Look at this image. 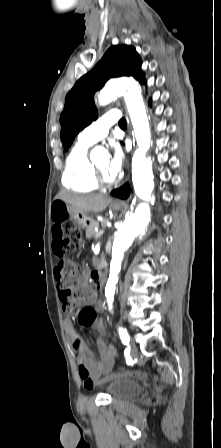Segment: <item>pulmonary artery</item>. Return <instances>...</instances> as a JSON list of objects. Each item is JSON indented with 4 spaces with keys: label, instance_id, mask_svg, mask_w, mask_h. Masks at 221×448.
I'll use <instances>...</instances> for the list:
<instances>
[{
    "label": "pulmonary artery",
    "instance_id": "1",
    "mask_svg": "<svg viewBox=\"0 0 221 448\" xmlns=\"http://www.w3.org/2000/svg\"><path fill=\"white\" fill-rule=\"evenodd\" d=\"M120 112L111 109L81 131L78 142L90 146L107 136L111 125L120 120Z\"/></svg>",
    "mask_w": 221,
    "mask_h": 448
}]
</instances>
